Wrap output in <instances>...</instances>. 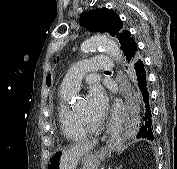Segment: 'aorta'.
Here are the masks:
<instances>
[{
    "mask_svg": "<svg viewBox=\"0 0 177 169\" xmlns=\"http://www.w3.org/2000/svg\"><path fill=\"white\" fill-rule=\"evenodd\" d=\"M99 47H102L105 52L116 61L122 60V51L120 50V47L114 40L107 36L96 35L91 37L83 44L82 49L85 52H93ZM128 111L130 112L131 120L133 121L132 116L135 108L131 98L128 99Z\"/></svg>",
    "mask_w": 177,
    "mask_h": 169,
    "instance_id": "aorta-1",
    "label": "aorta"
}]
</instances>
